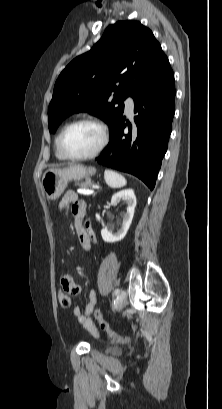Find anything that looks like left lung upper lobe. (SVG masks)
Returning <instances> with one entry per match:
<instances>
[{
    "instance_id": "5c2ea615",
    "label": "left lung upper lobe",
    "mask_w": 222,
    "mask_h": 409,
    "mask_svg": "<svg viewBox=\"0 0 222 409\" xmlns=\"http://www.w3.org/2000/svg\"><path fill=\"white\" fill-rule=\"evenodd\" d=\"M170 69L147 27L138 21L110 25L90 51L76 57L59 75L48 108L50 132L79 111L93 113L111 128L124 111L123 101Z\"/></svg>"
}]
</instances>
